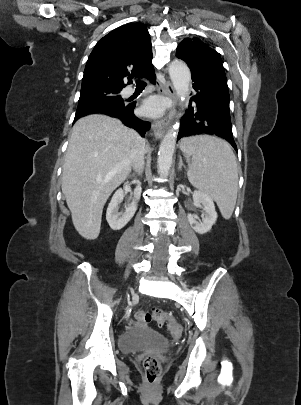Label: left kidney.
Returning <instances> with one entry per match:
<instances>
[{"instance_id":"5707ae66","label":"left kidney","mask_w":301,"mask_h":405,"mask_svg":"<svg viewBox=\"0 0 301 405\" xmlns=\"http://www.w3.org/2000/svg\"><path fill=\"white\" fill-rule=\"evenodd\" d=\"M193 201L204 210L202 221H197L193 214H188L187 218L191 227L199 234H205L211 230L217 220V212L211 196L203 191H194Z\"/></svg>"}]
</instances>
